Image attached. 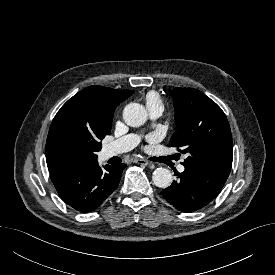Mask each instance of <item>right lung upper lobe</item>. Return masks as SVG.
Returning <instances> with one entry per match:
<instances>
[{"mask_svg": "<svg viewBox=\"0 0 275 275\" xmlns=\"http://www.w3.org/2000/svg\"><path fill=\"white\" fill-rule=\"evenodd\" d=\"M133 93V90L89 86L70 98L54 117L48 133L46 162L49 171L75 167L65 165L57 158L56 147L62 138L74 136L93 141L102 140L111 133L115 108ZM93 162L95 161L90 163Z\"/></svg>", "mask_w": 275, "mask_h": 275, "instance_id": "obj_1", "label": "right lung upper lobe"}]
</instances>
